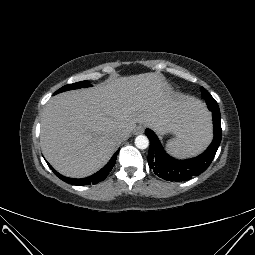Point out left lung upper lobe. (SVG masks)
Instances as JSON below:
<instances>
[{
    "instance_id": "obj_1",
    "label": "left lung upper lobe",
    "mask_w": 255,
    "mask_h": 255,
    "mask_svg": "<svg viewBox=\"0 0 255 255\" xmlns=\"http://www.w3.org/2000/svg\"><path fill=\"white\" fill-rule=\"evenodd\" d=\"M201 93H202L203 98H206L207 96H211L209 94V92L206 89H204L203 87H201Z\"/></svg>"
}]
</instances>
